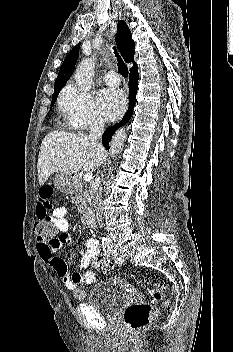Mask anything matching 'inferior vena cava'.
Masks as SVG:
<instances>
[{
	"label": "inferior vena cava",
	"instance_id": "inferior-vena-cava-1",
	"mask_svg": "<svg viewBox=\"0 0 233 352\" xmlns=\"http://www.w3.org/2000/svg\"><path fill=\"white\" fill-rule=\"evenodd\" d=\"M104 131V121L101 117L95 115L92 118L91 126H90V133H89V139L92 142H97ZM99 184H100V177H97L95 179V183L93 186V196H94V205H95V210H96V218L100 224L102 221V209H101V198H100V190H99Z\"/></svg>",
	"mask_w": 233,
	"mask_h": 352
}]
</instances>
